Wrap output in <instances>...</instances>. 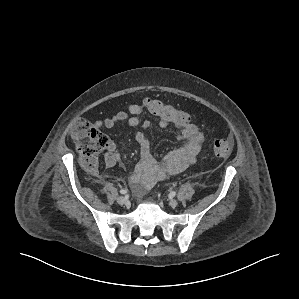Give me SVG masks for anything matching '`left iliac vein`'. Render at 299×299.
Instances as JSON below:
<instances>
[{
  "mask_svg": "<svg viewBox=\"0 0 299 299\" xmlns=\"http://www.w3.org/2000/svg\"><path fill=\"white\" fill-rule=\"evenodd\" d=\"M169 204H170L171 207H176V206L178 205V202H177V200H175V199H171V200L169 201Z\"/></svg>",
  "mask_w": 299,
  "mask_h": 299,
  "instance_id": "4c4485c4",
  "label": "left iliac vein"
}]
</instances>
